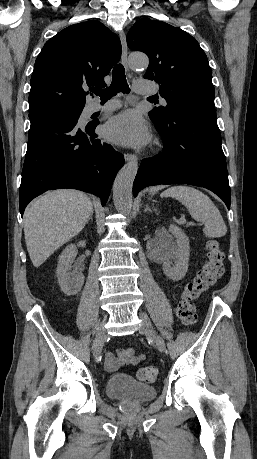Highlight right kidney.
I'll list each match as a JSON object with an SVG mask.
<instances>
[{"mask_svg": "<svg viewBox=\"0 0 257 459\" xmlns=\"http://www.w3.org/2000/svg\"><path fill=\"white\" fill-rule=\"evenodd\" d=\"M78 253L74 244H69L59 256L56 275L61 290L66 295H76L84 284V276L79 268L73 271L72 263Z\"/></svg>", "mask_w": 257, "mask_h": 459, "instance_id": "obj_1", "label": "right kidney"}]
</instances>
